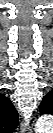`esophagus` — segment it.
Here are the masks:
<instances>
[{"label":"esophagus","mask_w":53,"mask_h":133,"mask_svg":"<svg viewBox=\"0 0 53 133\" xmlns=\"http://www.w3.org/2000/svg\"><path fill=\"white\" fill-rule=\"evenodd\" d=\"M21 133H32V130L27 126L22 125V132Z\"/></svg>","instance_id":"1"}]
</instances>
